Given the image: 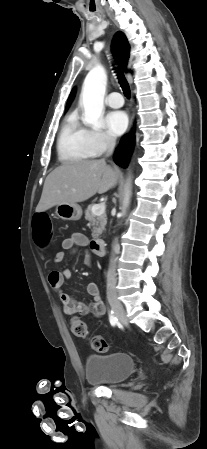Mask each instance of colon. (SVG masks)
I'll use <instances>...</instances> for the list:
<instances>
[{"label": "colon", "mask_w": 207, "mask_h": 449, "mask_svg": "<svg viewBox=\"0 0 207 449\" xmlns=\"http://www.w3.org/2000/svg\"><path fill=\"white\" fill-rule=\"evenodd\" d=\"M34 228H33V238L36 245L40 249H46L52 238V224L50 218L46 213H37L34 215ZM70 329L74 336L85 338L88 335L87 325L79 317L72 316L69 320ZM89 343L92 349L98 352H105L108 349V344L103 337L95 335L89 338Z\"/></svg>", "instance_id": "5ec220e1"}]
</instances>
